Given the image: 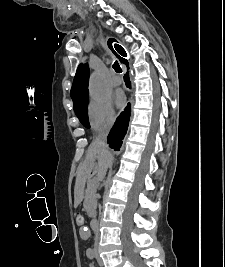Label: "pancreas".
<instances>
[{
	"mask_svg": "<svg viewBox=\"0 0 225 267\" xmlns=\"http://www.w3.org/2000/svg\"><path fill=\"white\" fill-rule=\"evenodd\" d=\"M95 190V185L90 183L86 189V195L83 204L88 216L90 217L95 215Z\"/></svg>",
	"mask_w": 225,
	"mask_h": 267,
	"instance_id": "obj_1",
	"label": "pancreas"
}]
</instances>
